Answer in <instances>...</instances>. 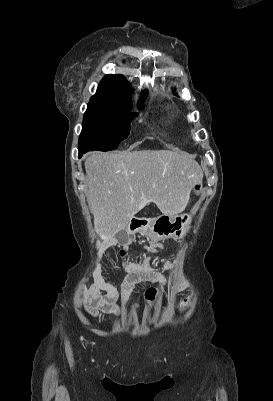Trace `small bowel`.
Here are the masks:
<instances>
[{
    "mask_svg": "<svg viewBox=\"0 0 273 401\" xmlns=\"http://www.w3.org/2000/svg\"><path fill=\"white\" fill-rule=\"evenodd\" d=\"M114 242H107L103 244L96 255V261L93 267V286L87 291L85 299L86 309L90 316L95 319L101 320L100 313L120 315L124 309L133 308L140 309L139 303L131 304L130 297L134 291L135 285L142 282H158L166 286L168 291L179 289L182 284H172L167 281L161 272L157 269V259H145L139 262L124 261L123 267L128 272L129 277L124 281L120 290L107 281L102 274L101 260L104 251L114 246ZM126 255L125 250L119 251V256L124 258ZM163 266L165 270L171 269L173 263L171 260H164ZM187 300L181 304L184 308ZM109 326H113V321L107 322Z\"/></svg>",
    "mask_w": 273,
    "mask_h": 401,
    "instance_id": "1",
    "label": "small bowel"
}]
</instances>
